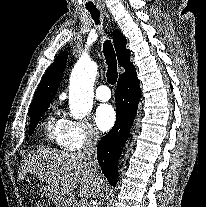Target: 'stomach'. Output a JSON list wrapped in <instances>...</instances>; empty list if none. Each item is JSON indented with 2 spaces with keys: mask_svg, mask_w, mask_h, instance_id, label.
Wrapping results in <instances>:
<instances>
[{
  "mask_svg": "<svg viewBox=\"0 0 206 207\" xmlns=\"http://www.w3.org/2000/svg\"><path fill=\"white\" fill-rule=\"evenodd\" d=\"M39 187L40 191L47 195V186L40 184H36Z\"/></svg>",
  "mask_w": 206,
  "mask_h": 207,
  "instance_id": "stomach-1",
  "label": "stomach"
}]
</instances>
